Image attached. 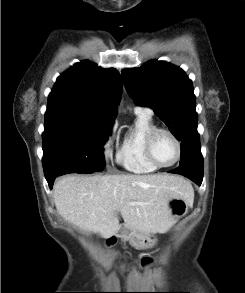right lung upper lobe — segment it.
Segmentation results:
<instances>
[{"label":"right lung upper lobe","instance_id":"obj_1","mask_svg":"<svg viewBox=\"0 0 245 293\" xmlns=\"http://www.w3.org/2000/svg\"><path fill=\"white\" fill-rule=\"evenodd\" d=\"M122 90L118 71L90 61L61 74L49 94L45 118H70L112 125Z\"/></svg>","mask_w":245,"mask_h":293}]
</instances>
